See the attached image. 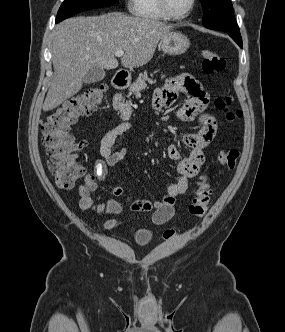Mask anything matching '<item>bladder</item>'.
Returning <instances> with one entry per match:
<instances>
[{"label": "bladder", "instance_id": "31cf9c89", "mask_svg": "<svg viewBox=\"0 0 285 332\" xmlns=\"http://www.w3.org/2000/svg\"><path fill=\"white\" fill-rule=\"evenodd\" d=\"M135 239L139 245L145 246L152 241L153 233L148 229H140L139 231H137Z\"/></svg>", "mask_w": 285, "mask_h": 332}]
</instances>
